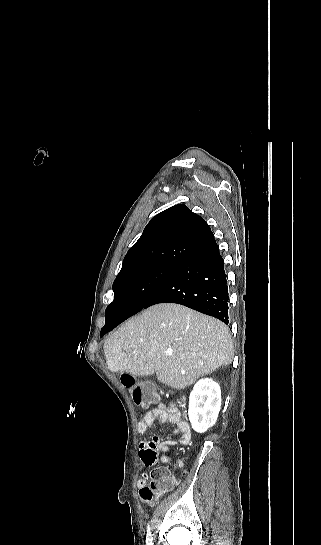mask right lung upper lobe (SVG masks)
Segmentation results:
<instances>
[{"label":"right lung upper lobe","instance_id":"1","mask_svg":"<svg viewBox=\"0 0 321 545\" xmlns=\"http://www.w3.org/2000/svg\"><path fill=\"white\" fill-rule=\"evenodd\" d=\"M213 239L205 220L178 204L150 220L126 254L119 274L158 264L181 266Z\"/></svg>","mask_w":321,"mask_h":545}]
</instances>
